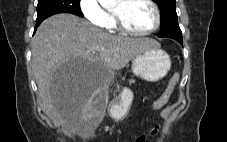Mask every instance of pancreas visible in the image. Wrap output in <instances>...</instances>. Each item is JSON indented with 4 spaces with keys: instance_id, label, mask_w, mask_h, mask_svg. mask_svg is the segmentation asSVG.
Instances as JSON below:
<instances>
[{
    "instance_id": "obj_1",
    "label": "pancreas",
    "mask_w": 227,
    "mask_h": 142,
    "mask_svg": "<svg viewBox=\"0 0 227 142\" xmlns=\"http://www.w3.org/2000/svg\"><path fill=\"white\" fill-rule=\"evenodd\" d=\"M132 83H135V80L132 79L129 81V84H132Z\"/></svg>"
}]
</instances>
